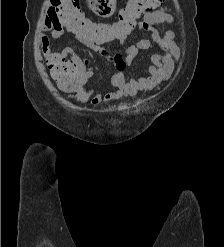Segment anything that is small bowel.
Wrapping results in <instances>:
<instances>
[{
    "mask_svg": "<svg viewBox=\"0 0 224 247\" xmlns=\"http://www.w3.org/2000/svg\"><path fill=\"white\" fill-rule=\"evenodd\" d=\"M115 2L116 0H88L91 10L101 17H108L113 13ZM173 22L174 18L168 8L155 9L139 19V29L149 32L150 37L140 39L135 44L128 46L125 49L124 63L129 66L140 51L156 48L159 52L151 55V64L147 66V71L150 75L148 77H131L123 71L114 73L109 83L111 86L117 88L116 91L102 94L96 90H87L93 104L96 105L101 102H107L122 97H135L140 92H151L163 82L170 79L174 71L175 60L179 57V48L175 42V34L173 31H167L164 36H161L156 26L161 23L172 24ZM42 30L51 32V38L48 36L42 37L43 52L48 63L55 58V54L51 51L52 39L58 40L65 33L74 35L90 50L106 55L103 49V43L105 42L76 36L74 32L63 23L58 12L52 5V0H50L46 6ZM125 39L126 38H122L118 41L124 43ZM68 52L69 51L65 49L62 55ZM92 75L93 73L89 72L86 78L88 79L92 77Z\"/></svg>",
    "mask_w": 224,
    "mask_h": 247,
    "instance_id": "1",
    "label": "small bowel"
}]
</instances>
